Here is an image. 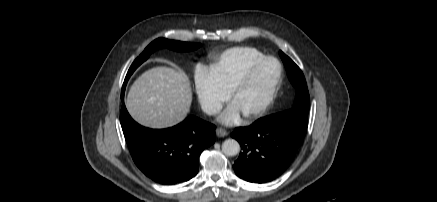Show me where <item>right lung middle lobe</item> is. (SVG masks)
<instances>
[{"label": "right lung middle lobe", "mask_w": 437, "mask_h": 202, "mask_svg": "<svg viewBox=\"0 0 437 202\" xmlns=\"http://www.w3.org/2000/svg\"><path fill=\"white\" fill-rule=\"evenodd\" d=\"M162 47H168L170 49L176 50V51H192L200 47V44L198 43H186V42H180V41H173V40H167L164 38H158L154 40L152 43H150L144 52L133 62L131 67L128 70V73L125 77L121 96L124 95L125 87L127 84V81L129 80L132 73L136 70V68L143 63L145 60H147L152 52L155 50L162 48Z\"/></svg>", "instance_id": "1"}]
</instances>
